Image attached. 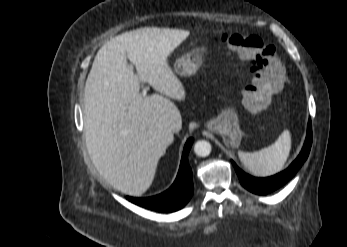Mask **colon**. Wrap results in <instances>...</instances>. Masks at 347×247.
<instances>
[{
  "label": "colon",
  "instance_id": "5ec220e1",
  "mask_svg": "<svg viewBox=\"0 0 347 247\" xmlns=\"http://www.w3.org/2000/svg\"><path fill=\"white\" fill-rule=\"evenodd\" d=\"M221 40L251 66L253 82L244 91L242 106L249 109L264 108L269 97L279 92L285 83V72L274 46L265 44L257 35L241 32L224 33Z\"/></svg>",
  "mask_w": 347,
  "mask_h": 247
}]
</instances>
